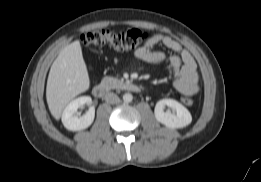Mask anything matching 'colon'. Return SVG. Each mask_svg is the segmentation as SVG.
I'll return each instance as SVG.
<instances>
[{
    "instance_id": "1",
    "label": "colon",
    "mask_w": 261,
    "mask_h": 182,
    "mask_svg": "<svg viewBox=\"0 0 261 182\" xmlns=\"http://www.w3.org/2000/svg\"><path fill=\"white\" fill-rule=\"evenodd\" d=\"M148 33L139 29L125 31L92 30L81 37L85 47L109 46L117 50H132L141 47L148 40ZM187 105L194 104V98L187 96L183 99Z\"/></svg>"
}]
</instances>
